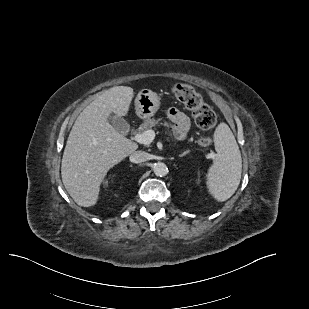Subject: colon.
<instances>
[{
  "label": "colon",
  "instance_id": "obj_1",
  "mask_svg": "<svg viewBox=\"0 0 309 309\" xmlns=\"http://www.w3.org/2000/svg\"><path fill=\"white\" fill-rule=\"evenodd\" d=\"M176 99L191 111L196 125L203 129L213 128L217 122L214 110L204 102L202 96L190 85L177 84L173 88ZM199 145L206 147L211 143L210 138L202 137L198 141Z\"/></svg>",
  "mask_w": 309,
  "mask_h": 309
}]
</instances>
